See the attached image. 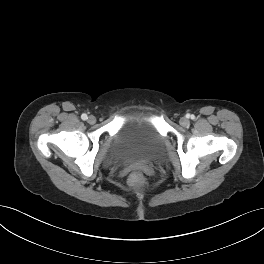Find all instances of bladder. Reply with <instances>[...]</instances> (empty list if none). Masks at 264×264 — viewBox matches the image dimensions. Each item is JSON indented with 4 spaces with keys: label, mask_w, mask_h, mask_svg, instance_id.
<instances>
[{
    "label": "bladder",
    "mask_w": 264,
    "mask_h": 264,
    "mask_svg": "<svg viewBox=\"0 0 264 264\" xmlns=\"http://www.w3.org/2000/svg\"><path fill=\"white\" fill-rule=\"evenodd\" d=\"M165 142L150 113L140 111L137 117L123 123L104 155L107 166L151 164L164 153Z\"/></svg>",
    "instance_id": "bladder-1"
}]
</instances>
